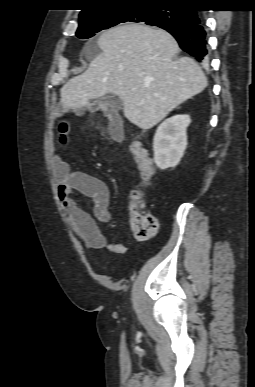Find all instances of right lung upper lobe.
<instances>
[{
  "label": "right lung upper lobe",
  "instance_id": "obj_1",
  "mask_svg": "<svg viewBox=\"0 0 255 387\" xmlns=\"http://www.w3.org/2000/svg\"><path fill=\"white\" fill-rule=\"evenodd\" d=\"M195 0H84V9L80 13V18L124 6H159L169 4L178 8L186 7L194 3Z\"/></svg>",
  "mask_w": 255,
  "mask_h": 387
}]
</instances>
